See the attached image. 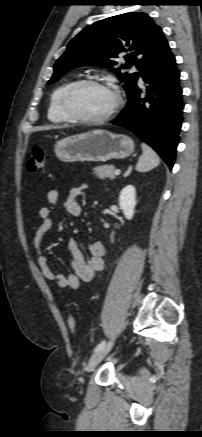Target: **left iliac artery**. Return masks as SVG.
I'll return each instance as SVG.
<instances>
[{"instance_id":"1","label":"left iliac artery","mask_w":202,"mask_h":437,"mask_svg":"<svg viewBox=\"0 0 202 437\" xmlns=\"http://www.w3.org/2000/svg\"><path fill=\"white\" fill-rule=\"evenodd\" d=\"M105 344H106V342H105L104 340L101 341V342H100V343L95 347L94 352H96V351L102 349V348L105 346Z\"/></svg>"}]
</instances>
